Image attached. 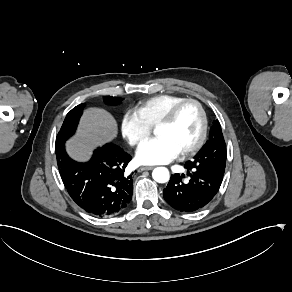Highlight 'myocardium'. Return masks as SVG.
<instances>
[{"label":"myocardium","instance_id":"myocardium-1","mask_svg":"<svg viewBox=\"0 0 292 292\" xmlns=\"http://www.w3.org/2000/svg\"><path fill=\"white\" fill-rule=\"evenodd\" d=\"M187 104H192L194 105L200 115V130H199V134L198 137L196 139V141L190 145L189 147L183 149L181 151L182 155H188L190 153H193L195 151H197L198 149L201 148V146L204 143L205 137H206V132H207V118H206V114L205 111L201 105V103H199L197 100L195 99H191V98H185L182 99L174 104H172L156 121L154 127L159 126V125H164V124H168L171 121L174 120L177 112L179 111V109L181 107H183L184 105Z\"/></svg>","mask_w":292,"mask_h":292}]
</instances>
